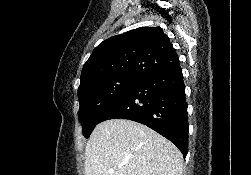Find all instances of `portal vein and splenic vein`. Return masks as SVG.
I'll use <instances>...</instances> for the list:
<instances>
[{
	"label": "portal vein and splenic vein",
	"mask_w": 251,
	"mask_h": 175,
	"mask_svg": "<svg viewBox=\"0 0 251 175\" xmlns=\"http://www.w3.org/2000/svg\"><path fill=\"white\" fill-rule=\"evenodd\" d=\"M115 169H109V173H114Z\"/></svg>",
	"instance_id": "portal-vein-and-splenic-vein-1"
}]
</instances>
